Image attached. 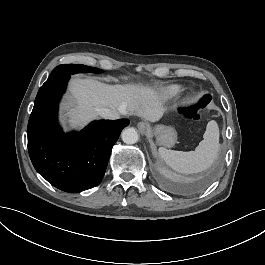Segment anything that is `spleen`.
Returning a JSON list of instances; mask_svg holds the SVG:
<instances>
[{"mask_svg":"<svg viewBox=\"0 0 265 265\" xmlns=\"http://www.w3.org/2000/svg\"><path fill=\"white\" fill-rule=\"evenodd\" d=\"M203 138L195 151H176L160 147L159 153L167 164L179 172H202L214 162L219 148V131L214 121L207 124Z\"/></svg>","mask_w":265,"mask_h":265,"instance_id":"3e777b00","label":"spleen"}]
</instances>
